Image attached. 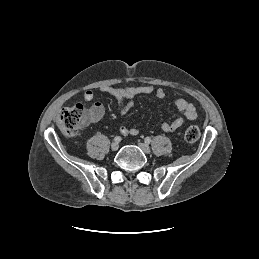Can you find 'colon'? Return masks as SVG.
Instances as JSON below:
<instances>
[{"instance_id": "colon-1", "label": "colon", "mask_w": 259, "mask_h": 259, "mask_svg": "<svg viewBox=\"0 0 259 259\" xmlns=\"http://www.w3.org/2000/svg\"><path fill=\"white\" fill-rule=\"evenodd\" d=\"M93 108H87L82 104L62 109L56 118L57 125L66 137L75 136L79 130L86 126L93 119ZM200 137L198 127L191 125L184 131V138L187 142H195Z\"/></svg>"}]
</instances>
